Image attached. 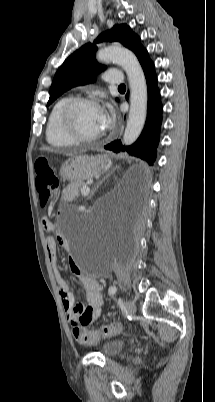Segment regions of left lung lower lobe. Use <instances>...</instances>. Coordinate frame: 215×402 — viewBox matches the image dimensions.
Here are the masks:
<instances>
[{
	"instance_id": "obj_1",
	"label": "left lung lower lobe",
	"mask_w": 215,
	"mask_h": 402,
	"mask_svg": "<svg viewBox=\"0 0 215 402\" xmlns=\"http://www.w3.org/2000/svg\"><path fill=\"white\" fill-rule=\"evenodd\" d=\"M141 66L145 74L148 89V108L144 129L137 141L130 146H123L121 140H115L106 145L105 148L114 152L126 150L129 154L137 156L145 160L149 165H152L156 159V148L160 138L162 104L160 100V91L157 86V76L154 70V63L149 58Z\"/></svg>"
}]
</instances>
